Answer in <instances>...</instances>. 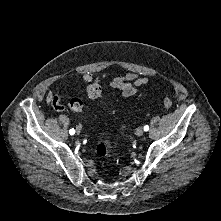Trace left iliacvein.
<instances>
[{"instance_id":"left-iliac-vein-1","label":"left iliac vein","mask_w":221,"mask_h":221,"mask_svg":"<svg viewBox=\"0 0 221 221\" xmlns=\"http://www.w3.org/2000/svg\"><path fill=\"white\" fill-rule=\"evenodd\" d=\"M143 134H144L143 129L138 128V129L136 130V135H137V136H142Z\"/></svg>"}]
</instances>
